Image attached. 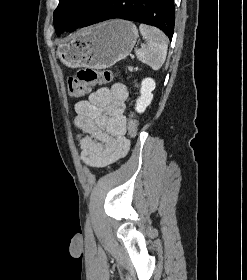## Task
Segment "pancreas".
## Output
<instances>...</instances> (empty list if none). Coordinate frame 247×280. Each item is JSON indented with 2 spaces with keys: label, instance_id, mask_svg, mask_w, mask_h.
Listing matches in <instances>:
<instances>
[{
  "label": "pancreas",
  "instance_id": "cf45deb5",
  "mask_svg": "<svg viewBox=\"0 0 247 280\" xmlns=\"http://www.w3.org/2000/svg\"><path fill=\"white\" fill-rule=\"evenodd\" d=\"M128 69L130 70V71H133V67H128ZM138 68H135V70H137Z\"/></svg>",
  "mask_w": 247,
  "mask_h": 280
}]
</instances>
